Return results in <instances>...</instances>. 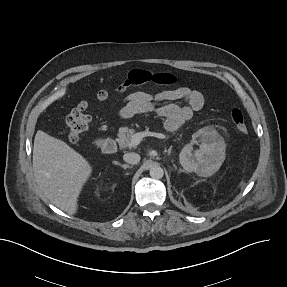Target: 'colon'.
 <instances>
[{"instance_id": "colon-1", "label": "colon", "mask_w": 287, "mask_h": 287, "mask_svg": "<svg viewBox=\"0 0 287 287\" xmlns=\"http://www.w3.org/2000/svg\"><path fill=\"white\" fill-rule=\"evenodd\" d=\"M176 82V78L170 73H151L146 70H133L131 71L126 80L120 84L116 92L120 96L126 95L134 88L141 87L148 83H155L159 85H173ZM109 98L107 91H99L97 93V99L99 101H106ZM231 120L240 133L247 132V125L244 119V115L240 109L234 108L231 111ZM91 116L89 113V105L83 101L79 103L66 117L65 130L68 139L71 143H78L82 134L88 129Z\"/></svg>"}]
</instances>
